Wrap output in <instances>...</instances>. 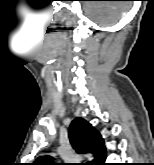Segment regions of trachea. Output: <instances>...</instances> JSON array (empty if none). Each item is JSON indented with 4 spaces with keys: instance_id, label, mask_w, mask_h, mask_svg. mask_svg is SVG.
I'll list each match as a JSON object with an SVG mask.
<instances>
[{
    "instance_id": "3493384b",
    "label": "trachea",
    "mask_w": 154,
    "mask_h": 165,
    "mask_svg": "<svg viewBox=\"0 0 154 165\" xmlns=\"http://www.w3.org/2000/svg\"><path fill=\"white\" fill-rule=\"evenodd\" d=\"M83 164H85V165H89L90 163H83Z\"/></svg>"
}]
</instances>
